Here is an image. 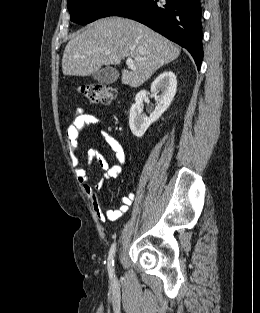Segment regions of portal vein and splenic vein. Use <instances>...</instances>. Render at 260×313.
I'll return each instance as SVG.
<instances>
[{
	"instance_id": "1",
	"label": "portal vein and splenic vein",
	"mask_w": 260,
	"mask_h": 313,
	"mask_svg": "<svg viewBox=\"0 0 260 313\" xmlns=\"http://www.w3.org/2000/svg\"><path fill=\"white\" fill-rule=\"evenodd\" d=\"M126 64L128 65V67L134 68V61L132 58H127Z\"/></svg>"
}]
</instances>
